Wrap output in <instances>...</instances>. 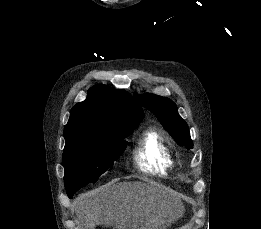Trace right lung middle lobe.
Instances as JSON below:
<instances>
[{"label": "right lung middle lobe", "instance_id": "obj_1", "mask_svg": "<svg viewBox=\"0 0 261 229\" xmlns=\"http://www.w3.org/2000/svg\"><path fill=\"white\" fill-rule=\"evenodd\" d=\"M137 124H125L106 129L109 138L80 141L65 146L63 164L64 183L69 198L85 185L112 168L113 162L122 154L129 136Z\"/></svg>", "mask_w": 261, "mask_h": 229}]
</instances>
